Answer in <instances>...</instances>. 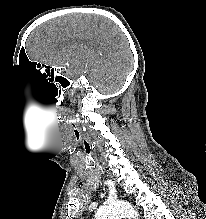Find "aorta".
Returning <instances> with one entry per match:
<instances>
[{"instance_id": "1", "label": "aorta", "mask_w": 206, "mask_h": 219, "mask_svg": "<svg viewBox=\"0 0 206 219\" xmlns=\"http://www.w3.org/2000/svg\"><path fill=\"white\" fill-rule=\"evenodd\" d=\"M138 219V214L132 205L125 201H116L106 203L101 206L96 214L95 219Z\"/></svg>"}]
</instances>
